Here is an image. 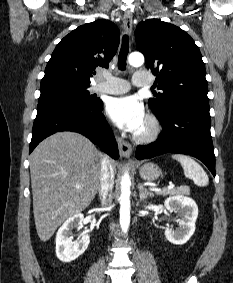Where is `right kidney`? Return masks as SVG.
Here are the masks:
<instances>
[{"label":"right kidney","instance_id":"ca27d5eb","mask_svg":"<svg viewBox=\"0 0 233 283\" xmlns=\"http://www.w3.org/2000/svg\"><path fill=\"white\" fill-rule=\"evenodd\" d=\"M84 216L77 213L67 219L56 234V255L62 262L69 263L77 259L87 249L90 243L88 234H84L79 241L73 242L70 237L74 228L82 226Z\"/></svg>","mask_w":233,"mask_h":283}]
</instances>
